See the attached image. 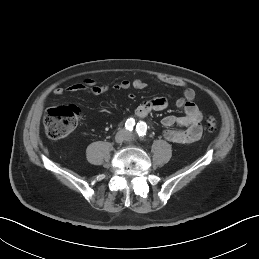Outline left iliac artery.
<instances>
[{"label": "left iliac artery", "instance_id": "obj_1", "mask_svg": "<svg viewBox=\"0 0 259 259\" xmlns=\"http://www.w3.org/2000/svg\"><path fill=\"white\" fill-rule=\"evenodd\" d=\"M136 129L139 137H144V135H146L147 125L145 122H140L137 124Z\"/></svg>", "mask_w": 259, "mask_h": 259}]
</instances>
